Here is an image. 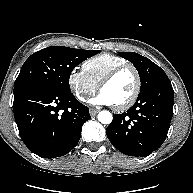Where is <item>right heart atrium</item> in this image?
<instances>
[{"instance_id":"1","label":"right heart atrium","mask_w":193,"mask_h":193,"mask_svg":"<svg viewBox=\"0 0 193 193\" xmlns=\"http://www.w3.org/2000/svg\"><path fill=\"white\" fill-rule=\"evenodd\" d=\"M68 86L76 99L80 102H85L87 98L94 93L96 85L78 69H73L68 74Z\"/></svg>"}]
</instances>
